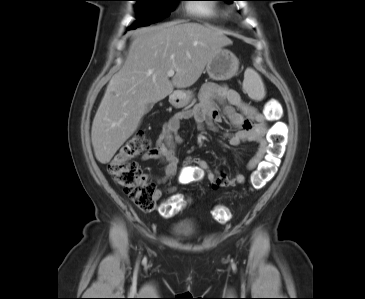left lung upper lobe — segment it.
<instances>
[{"label":"left lung upper lobe","instance_id":"5c2ea615","mask_svg":"<svg viewBox=\"0 0 365 299\" xmlns=\"http://www.w3.org/2000/svg\"><path fill=\"white\" fill-rule=\"evenodd\" d=\"M224 1L232 2V1H237V0H224Z\"/></svg>","mask_w":365,"mask_h":299}]
</instances>
